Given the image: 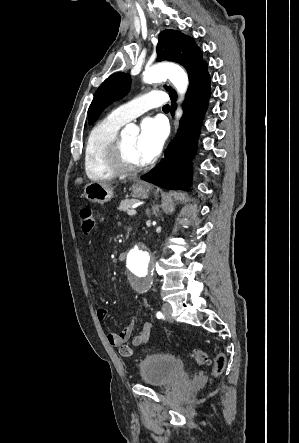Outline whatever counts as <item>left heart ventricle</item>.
Segmentation results:
<instances>
[{"instance_id":"obj_1","label":"left heart ventricle","mask_w":299,"mask_h":443,"mask_svg":"<svg viewBox=\"0 0 299 443\" xmlns=\"http://www.w3.org/2000/svg\"><path fill=\"white\" fill-rule=\"evenodd\" d=\"M138 136V134H131L122 137L125 158L131 165L143 164L137 151Z\"/></svg>"}]
</instances>
